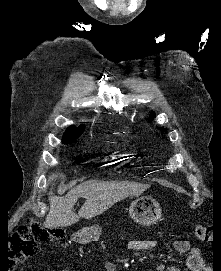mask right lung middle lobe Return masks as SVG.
Returning a JSON list of instances; mask_svg holds the SVG:
<instances>
[{
    "instance_id": "obj_1",
    "label": "right lung middle lobe",
    "mask_w": 221,
    "mask_h": 271,
    "mask_svg": "<svg viewBox=\"0 0 221 271\" xmlns=\"http://www.w3.org/2000/svg\"><path fill=\"white\" fill-rule=\"evenodd\" d=\"M72 141H63L64 144H69L71 143Z\"/></svg>"
}]
</instances>
